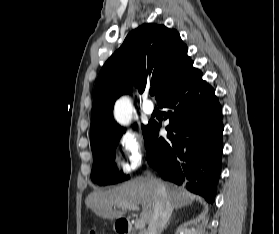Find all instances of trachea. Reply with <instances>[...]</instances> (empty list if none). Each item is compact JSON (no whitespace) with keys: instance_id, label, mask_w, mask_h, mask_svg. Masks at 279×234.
I'll return each instance as SVG.
<instances>
[{"instance_id":"trachea-1","label":"trachea","mask_w":279,"mask_h":234,"mask_svg":"<svg viewBox=\"0 0 279 234\" xmlns=\"http://www.w3.org/2000/svg\"><path fill=\"white\" fill-rule=\"evenodd\" d=\"M150 94L153 96L155 94V89H150Z\"/></svg>"}]
</instances>
